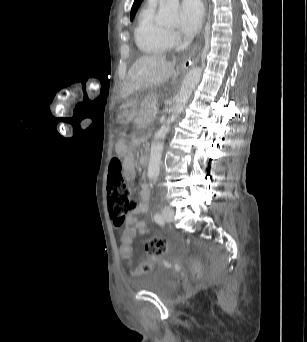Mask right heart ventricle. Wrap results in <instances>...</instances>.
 <instances>
[{"label": "right heart ventricle", "mask_w": 307, "mask_h": 342, "mask_svg": "<svg viewBox=\"0 0 307 342\" xmlns=\"http://www.w3.org/2000/svg\"><path fill=\"white\" fill-rule=\"evenodd\" d=\"M154 10L144 11L134 31L135 46L143 57H153L165 53L166 49L161 41Z\"/></svg>", "instance_id": "right-heart-ventricle-1"}]
</instances>
